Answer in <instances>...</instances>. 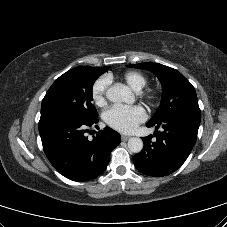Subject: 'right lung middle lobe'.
I'll list each match as a JSON object with an SVG mask.
<instances>
[{
    "mask_svg": "<svg viewBox=\"0 0 227 227\" xmlns=\"http://www.w3.org/2000/svg\"><path fill=\"white\" fill-rule=\"evenodd\" d=\"M104 72L96 67L79 66L61 75L42 101L41 117L63 113L81 120L96 119L92 88L95 80Z\"/></svg>",
    "mask_w": 227,
    "mask_h": 227,
    "instance_id": "obj_1",
    "label": "right lung middle lobe"
}]
</instances>
